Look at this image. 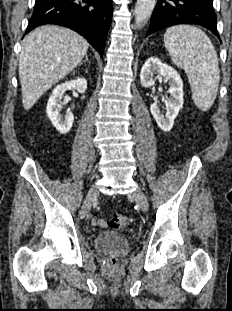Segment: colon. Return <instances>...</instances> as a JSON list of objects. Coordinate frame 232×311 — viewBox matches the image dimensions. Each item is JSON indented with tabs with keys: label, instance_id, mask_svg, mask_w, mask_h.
Listing matches in <instances>:
<instances>
[{
	"label": "colon",
	"instance_id": "1",
	"mask_svg": "<svg viewBox=\"0 0 232 311\" xmlns=\"http://www.w3.org/2000/svg\"><path fill=\"white\" fill-rule=\"evenodd\" d=\"M110 226L123 233L130 232L132 229V221L125 215H114L110 219ZM111 265L116 264V258L113 257L110 261Z\"/></svg>",
	"mask_w": 232,
	"mask_h": 311
}]
</instances>
